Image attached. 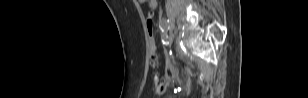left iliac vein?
Segmentation results:
<instances>
[{
    "label": "left iliac vein",
    "mask_w": 308,
    "mask_h": 98,
    "mask_svg": "<svg viewBox=\"0 0 308 98\" xmlns=\"http://www.w3.org/2000/svg\"><path fill=\"white\" fill-rule=\"evenodd\" d=\"M174 40V34L172 32H170L168 34V41H169V44L171 45V43L173 42Z\"/></svg>",
    "instance_id": "left-iliac-vein-1"
}]
</instances>
